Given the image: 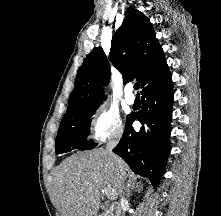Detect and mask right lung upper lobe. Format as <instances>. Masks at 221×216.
<instances>
[{"instance_id": "1", "label": "right lung upper lobe", "mask_w": 221, "mask_h": 216, "mask_svg": "<svg viewBox=\"0 0 221 216\" xmlns=\"http://www.w3.org/2000/svg\"><path fill=\"white\" fill-rule=\"evenodd\" d=\"M110 61L124 83L136 78L145 88L168 70L164 52L150 20L140 11L128 8L122 25L112 37ZM110 78V66L101 47L94 48L80 67L67 112L63 118L97 108L104 100L102 87Z\"/></svg>"}]
</instances>
